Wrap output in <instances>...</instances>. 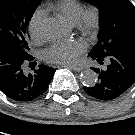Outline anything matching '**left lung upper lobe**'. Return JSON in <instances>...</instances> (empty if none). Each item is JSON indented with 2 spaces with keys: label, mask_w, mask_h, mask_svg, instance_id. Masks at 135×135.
Segmentation results:
<instances>
[{
  "label": "left lung upper lobe",
  "mask_w": 135,
  "mask_h": 135,
  "mask_svg": "<svg viewBox=\"0 0 135 135\" xmlns=\"http://www.w3.org/2000/svg\"><path fill=\"white\" fill-rule=\"evenodd\" d=\"M101 10L99 41L90 56L106 57L115 51H135V7L129 0H84Z\"/></svg>",
  "instance_id": "5c2ea615"
}]
</instances>
